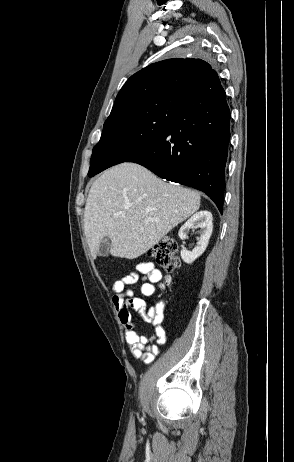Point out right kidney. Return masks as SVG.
Returning <instances> with one entry per match:
<instances>
[{"label":"right kidney","mask_w":294,"mask_h":462,"mask_svg":"<svg viewBox=\"0 0 294 462\" xmlns=\"http://www.w3.org/2000/svg\"><path fill=\"white\" fill-rule=\"evenodd\" d=\"M212 221L213 218L211 212L203 210L195 213L180 228L178 235L182 240H184L187 237V234L190 229H200V237L197 242V246L192 251H188L186 249L181 250V258L185 263L191 264L206 250L213 230Z\"/></svg>","instance_id":"right-kidney-1"}]
</instances>
